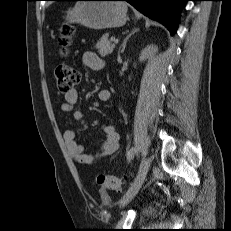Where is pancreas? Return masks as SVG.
Instances as JSON below:
<instances>
[{
    "label": "pancreas",
    "mask_w": 231,
    "mask_h": 231,
    "mask_svg": "<svg viewBox=\"0 0 231 231\" xmlns=\"http://www.w3.org/2000/svg\"><path fill=\"white\" fill-rule=\"evenodd\" d=\"M109 34H105L101 37V39L96 44V48L98 49L99 54L102 57H105L113 52L114 44L108 40Z\"/></svg>",
    "instance_id": "1"
}]
</instances>
